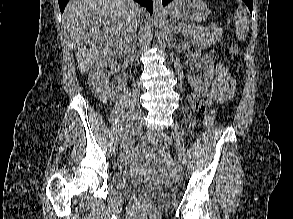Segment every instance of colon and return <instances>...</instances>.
Wrapping results in <instances>:
<instances>
[{
	"label": "colon",
	"instance_id": "5ec220e1",
	"mask_svg": "<svg viewBox=\"0 0 293 219\" xmlns=\"http://www.w3.org/2000/svg\"><path fill=\"white\" fill-rule=\"evenodd\" d=\"M238 53L239 46L238 44L233 43L229 49V54L232 57H236ZM200 111L206 114L205 123L207 126H210L215 118L216 109L201 108ZM147 140L150 144L161 150L165 149L170 142L169 136L162 132L149 133Z\"/></svg>",
	"mask_w": 293,
	"mask_h": 219
}]
</instances>
